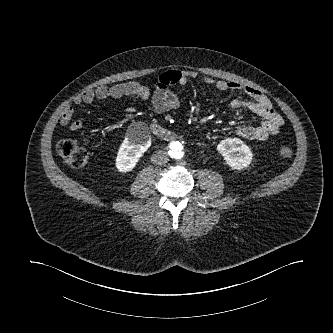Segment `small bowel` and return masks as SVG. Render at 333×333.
I'll return each instance as SVG.
<instances>
[{
    "instance_id": "obj_1",
    "label": "small bowel",
    "mask_w": 333,
    "mask_h": 333,
    "mask_svg": "<svg viewBox=\"0 0 333 333\" xmlns=\"http://www.w3.org/2000/svg\"><path fill=\"white\" fill-rule=\"evenodd\" d=\"M197 75V72L193 70H169L159 76L153 93L147 86L136 81H129L85 91L74 98V103L76 105L90 104L95 100L122 97H135L142 100L151 98L147 112L163 113L174 110L180 105L178 95L170 87L185 86L190 79L196 78ZM203 82L207 85H214L221 92L241 91L250 97L251 100L234 99L230 103L231 110L244 108L261 119L258 125L240 126L237 130L239 136L249 140L263 141L280 131L283 125V118L273 109L269 99L261 91L239 82L214 80L208 76L203 78ZM74 112L73 106L66 107L61 115L60 124L62 126L69 125L72 131H79L83 128V122L81 120H72Z\"/></svg>"
}]
</instances>
